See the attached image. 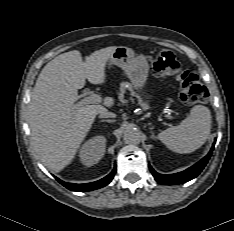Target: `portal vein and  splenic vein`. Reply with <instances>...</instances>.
I'll return each mask as SVG.
<instances>
[{"mask_svg": "<svg viewBox=\"0 0 234 231\" xmlns=\"http://www.w3.org/2000/svg\"><path fill=\"white\" fill-rule=\"evenodd\" d=\"M102 102V98L98 94H91L80 101L81 104H98ZM168 119H174L173 116L166 115Z\"/></svg>", "mask_w": 234, "mask_h": 231, "instance_id": "1", "label": "portal vein and splenic vein"}]
</instances>
